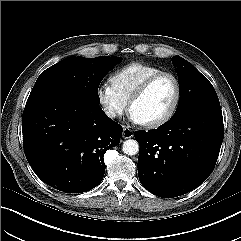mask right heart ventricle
I'll return each instance as SVG.
<instances>
[{
  "label": "right heart ventricle",
  "mask_w": 241,
  "mask_h": 241,
  "mask_svg": "<svg viewBox=\"0 0 241 241\" xmlns=\"http://www.w3.org/2000/svg\"><path fill=\"white\" fill-rule=\"evenodd\" d=\"M160 71L162 70L156 66L134 62L114 72L110 77V83L121 97L129 102L137 88L147 78Z\"/></svg>",
  "instance_id": "right-heart-ventricle-1"
}]
</instances>
